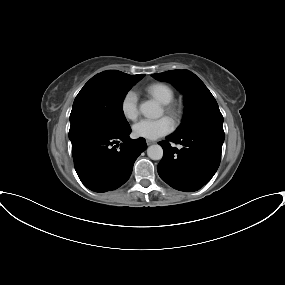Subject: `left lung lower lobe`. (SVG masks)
<instances>
[{
    "mask_svg": "<svg viewBox=\"0 0 285 285\" xmlns=\"http://www.w3.org/2000/svg\"><path fill=\"white\" fill-rule=\"evenodd\" d=\"M224 131L202 128L187 135L171 134L159 142L164 155L158 164V174L174 189L191 192L204 186L217 171ZM168 141L183 145L178 150Z\"/></svg>",
    "mask_w": 285,
    "mask_h": 285,
    "instance_id": "0a47b994",
    "label": "left lung lower lobe"
}]
</instances>
